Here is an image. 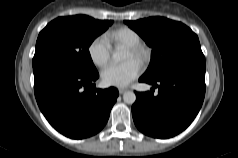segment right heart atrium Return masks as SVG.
Here are the masks:
<instances>
[{"label": "right heart atrium", "mask_w": 238, "mask_h": 158, "mask_svg": "<svg viewBox=\"0 0 238 158\" xmlns=\"http://www.w3.org/2000/svg\"><path fill=\"white\" fill-rule=\"evenodd\" d=\"M87 52L94 65L103 67L110 59V44L104 36H97L89 43Z\"/></svg>", "instance_id": "right-heart-atrium-1"}]
</instances>
